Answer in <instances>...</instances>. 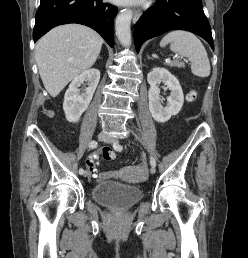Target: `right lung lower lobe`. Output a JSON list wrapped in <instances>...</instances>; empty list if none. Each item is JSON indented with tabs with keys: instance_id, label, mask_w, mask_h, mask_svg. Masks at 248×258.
I'll list each match as a JSON object with an SVG mask.
<instances>
[{
	"instance_id": "1",
	"label": "right lung lower lobe",
	"mask_w": 248,
	"mask_h": 258,
	"mask_svg": "<svg viewBox=\"0 0 248 258\" xmlns=\"http://www.w3.org/2000/svg\"><path fill=\"white\" fill-rule=\"evenodd\" d=\"M117 12L116 6L102 0H41L35 16L34 42L55 26L79 23L96 30L113 47Z\"/></svg>"
}]
</instances>
